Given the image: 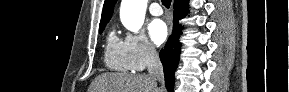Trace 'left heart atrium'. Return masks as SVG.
I'll list each match as a JSON object with an SVG mask.
<instances>
[{"mask_svg":"<svg viewBox=\"0 0 289 92\" xmlns=\"http://www.w3.org/2000/svg\"><path fill=\"white\" fill-rule=\"evenodd\" d=\"M152 42L159 46L165 42L168 36V28L164 21L160 19L153 20L148 27Z\"/></svg>","mask_w":289,"mask_h":92,"instance_id":"obj_1","label":"left heart atrium"}]
</instances>
